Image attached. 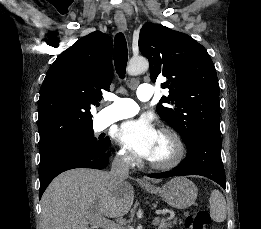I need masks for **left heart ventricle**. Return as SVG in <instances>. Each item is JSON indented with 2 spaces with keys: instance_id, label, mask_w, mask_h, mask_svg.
<instances>
[{
  "instance_id": "obj_1",
  "label": "left heart ventricle",
  "mask_w": 261,
  "mask_h": 229,
  "mask_svg": "<svg viewBox=\"0 0 261 229\" xmlns=\"http://www.w3.org/2000/svg\"><path fill=\"white\" fill-rule=\"evenodd\" d=\"M171 153V148L168 140L159 134L157 144L155 146L154 152L149 160L152 161H163Z\"/></svg>"
}]
</instances>
